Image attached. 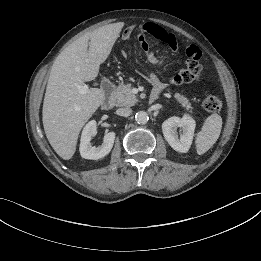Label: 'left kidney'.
Listing matches in <instances>:
<instances>
[{
    "mask_svg": "<svg viewBox=\"0 0 261 261\" xmlns=\"http://www.w3.org/2000/svg\"><path fill=\"white\" fill-rule=\"evenodd\" d=\"M181 128V135L178 137L177 128ZM196 127L195 120L189 116L184 115L182 118L173 116L162 123V131L166 141L169 145L178 152H188L194 136Z\"/></svg>",
    "mask_w": 261,
    "mask_h": 261,
    "instance_id": "obj_1",
    "label": "left kidney"
}]
</instances>
